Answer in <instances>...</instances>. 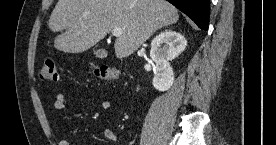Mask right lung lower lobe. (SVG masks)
I'll list each match as a JSON object with an SVG mask.
<instances>
[{
  "mask_svg": "<svg viewBox=\"0 0 276 145\" xmlns=\"http://www.w3.org/2000/svg\"><path fill=\"white\" fill-rule=\"evenodd\" d=\"M189 16L202 30H207L209 23V0H167Z\"/></svg>",
  "mask_w": 276,
  "mask_h": 145,
  "instance_id": "98d812e1",
  "label": "right lung lower lobe"
}]
</instances>
